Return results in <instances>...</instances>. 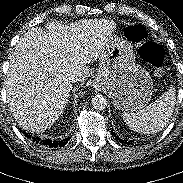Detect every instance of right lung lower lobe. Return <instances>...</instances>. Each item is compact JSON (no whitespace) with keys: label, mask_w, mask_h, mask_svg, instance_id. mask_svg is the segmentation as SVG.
Listing matches in <instances>:
<instances>
[{"label":"right lung lower lobe","mask_w":183,"mask_h":183,"mask_svg":"<svg viewBox=\"0 0 183 183\" xmlns=\"http://www.w3.org/2000/svg\"><path fill=\"white\" fill-rule=\"evenodd\" d=\"M23 134L26 137L31 138L29 133L23 132ZM32 140L36 143H40V144L45 145V146L56 148V147H63L64 145H66V143L68 142L69 139L67 138V139H63L60 141H51V140H41L38 137H36V138L32 137Z\"/></svg>","instance_id":"98d812e1"}]
</instances>
